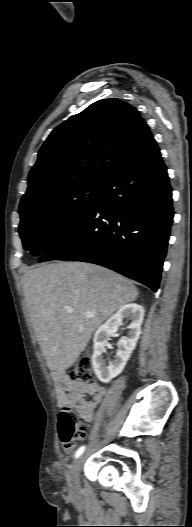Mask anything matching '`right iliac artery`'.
Wrapping results in <instances>:
<instances>
[{
	"mask_svg": "<svg viewBox=\"0 0 192 527\" xmlns=\"http://www.w3.org/2000/svg\"><path fill=\"white\" fill-rule=\"evenodd\" d=\"M84 451H85V446H81V447L76 451V453H75V458L80 457V456L83 454Z\"/></svg>",
	"mask_w": 192,
	"mask_h": 527,
	"instance_id": "right-iliac-artery-1",
	"label": "right iliac artery"
}]
</instances>
